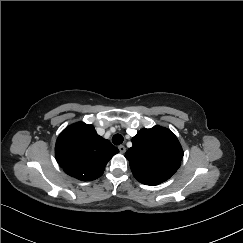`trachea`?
Wrapping results in <instances>:
<instances>
[{
  "label": "trachea",
  "mask_w": 243,
  "mask_h": 243,
  "mask_svg": "<svg viewBox=\"0 0 243 243\" xmlns=\"http://www.w3.org/2000/svg\"><path fill=\"white\" fill-rule=\"evenodd\" d=\"M124 138L121 134H115L113 137H112V142L115 144V145H120L122 142H123Z\"/></svg>",
  "instance_id": "3493384b"
}]
</instances>
